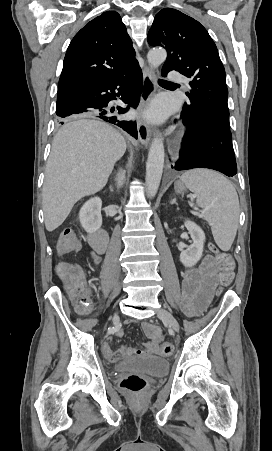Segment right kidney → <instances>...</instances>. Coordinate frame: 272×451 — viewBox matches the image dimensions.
<instances>
[{"label":"right kidney","mask_w":272,"mask_h":451,"mask_svg":"<svg viewBox=\"0 0 272 451\" xmlns=\"http://www.w3.org/2000/svg\"><path fill=\"white\" fill-rule=\"evenodd\" d=\"M101 206V198H91L82 206L79 212V220L85 231L91 233V231H96L102 226Z\"/></svg>","instance_id":"obj_1"}]
</instances>
